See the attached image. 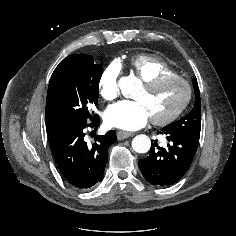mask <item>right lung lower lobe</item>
<instances>
[{"label":"right lung lower lobe","mask_w":236,"mask_h":236,"mask_svg":"<svg viewBox=\"0 0 236 236\" xmlns=\"http://www.w3.org/2000/svg\"><path fill=\"white\" fill-rule=\"evenodd\" d=\"M100 126L99 116L83 126L70 127L56 138L49 140L52 154L64 179L74 188L87 190L102 181L107 151L117 141L114 130L95 136V142L88 145L84 139L85 128L95 130Z\"/></svg>","instance_id":"1"}]
</instances>
